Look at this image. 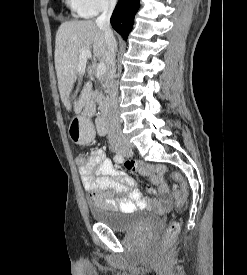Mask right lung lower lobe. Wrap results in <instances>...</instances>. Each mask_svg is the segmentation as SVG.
<instances>
[{"label":"right lung lower lobe","instance_id":"right-lung-lower-lobe-1","mask_svg":"<svg viewBox=\"0 0 247 275\" xmlns=\"http://www.w3.org/2000/svg\"><path fill=\"white\" fill-rule=\"evenodd\" d=\"M139 8V0H120L111 16L112 27L127 40L132 30L134 16Z\"/></svg>","mask_w":247,"mask_h":275}]
</instances>
